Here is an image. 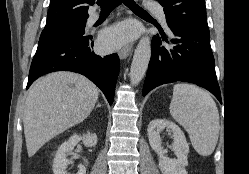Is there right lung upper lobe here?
<instances>
[{"label":"right lung upper lobe","instance_id":"1","mask_svg":"<svg viewBox=\"0 0 249 174\" xmlns=\"http://www.w3.org/2000/svg\"><path fill=\"white\" fill-rule=\"evenodd\" d=\"M95 0H50L46 26H52L65 21L86 20L89 5Z\"/></svg>","mask_w":249,"mask_h":174}]
</instances>
